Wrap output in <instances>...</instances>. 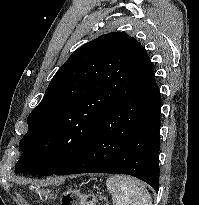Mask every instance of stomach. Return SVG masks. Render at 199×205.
I'll return each instance as SVG.
<instances>
[{
  "label": "stomach",
  "mask_w": 199,
  "mask_h": 205,
  "mask_svg": "<svg viewBox=\"0 0 199 205\" xmlns=\"http://www.w3.org/2000/svg\"><path fill=\"white\" fill-rule=\"evenodd\" d=\"M43 195H45L46 197L50 194V190H41L40 191ZM52 195V194H50Z\"/></svg>",
  "instance_id": "obj_1"
}]
</instances>
